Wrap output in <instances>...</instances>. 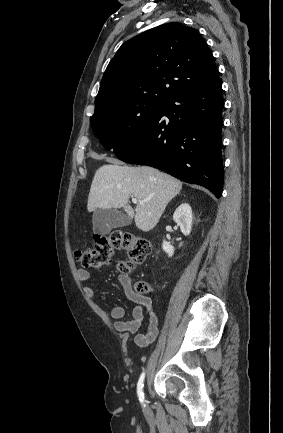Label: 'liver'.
<instances>
[{"mask_svg":"<svg viewBox=\"0 0 283 433\" xmlns=\"http://www.w3.org/2000/svg\"><path fill=\"white\" fill-rule=\"evenodd\" d=\"M123 162L103 164L94 174L87 208H123L135 225L148 233L156 227L168 202L182 188V182L151 166H120ZM130 196L137 200L136 208L128 204Z\"/></svg>","mask_w":283,"mask_h":433,"instance_id":"obj_1","label":"liver"}]
</instances>
